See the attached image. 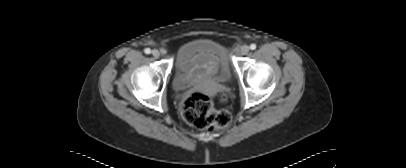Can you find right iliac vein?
I'll return each mask as SVG.
<instances>
[{
	"mask_svg": "<svg viewBox=\"0 0 406 168\" xmlns=\"http://www.w3.org/2000/svg\"><path fill=\"white\" fill-rule=\"evenodd\" d=\"M152 55H153L155 58H158V57L160 56V51L157 50V49H154V50H152Z\"/></svg>",
	"mask_w": 406,
	"mask_h": 168,
	"instance_id": "right-iliac-vein-1",
	"label": "right iliac vein"
}]
</instances>
